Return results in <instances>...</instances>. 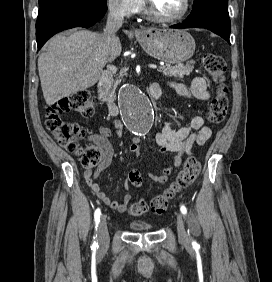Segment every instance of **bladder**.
Masks as SVG:
<instances>
[{"instance_id": "bladder-1", "label": "bladder", "mask_w": 272, "mask_h": 282, "mask_svg": "<svg viewBox=\"0 0 272 282\" xmlns=\"http://www.w3.org/2000/svg\"><path fill=\"white\" fill-rule=\"evenodd\" d=\"M129 226L135 231L150 230L153 227L150 223L141 220H133L129 223Z\"/></svg>"}]
</instances>
